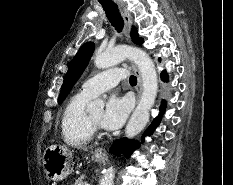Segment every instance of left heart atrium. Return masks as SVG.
Instances as JSON below:
<instances>
[{"label": "left heart atrium", "instance_id": "39dd6f15", "mask_svg": "<svg viewBox=\"0 0 233 185\" xmlns=\"http://www.w3.org/2000/svg\"><path fill=\"white\" fill-rule=\"evenodd\" d=\"M130 109L131 104L127 97H110L100 120L101 126L107 130L119 128L126 120Z\"/></svg>", "mask_w": 233, "mask_h": 185}]
</instances>
